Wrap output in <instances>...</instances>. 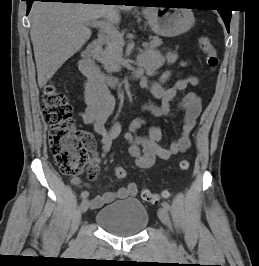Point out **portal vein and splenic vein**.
Masks as SVG:
<instances>
[{
  "label": "portal vein and splenic vein",
  "instance_id": "1",
  "mask_svg": "<svg viewBox=\"0 0 259 266\" xmlns=\"http://www.w3.org/2000/svg\"><path fill=\"white\" fill-rule=\"evenodd\" d=\"M90 26L99 28L100 30L106 32L109 36L122 39L120 32L110 23L103 20H93L89 23ZM144 48L148 47V43H142Z\"/></svg>",
  "mask_w": 259,
  "mask_h": 266
}]
</instances>
